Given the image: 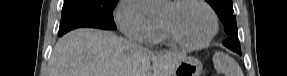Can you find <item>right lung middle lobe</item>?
I'll list each match as a JSON object with an SVG mask.
<instances>
[{"label": "right lung middle lobe", "mask_w": 287, "mask_h": 76, "mask_svg": "<svg viewBox=\"0 0 287 76\" xmlns=\"http://www.w3.org/2000/svg\"><path fill=\"white\" fill-rule=\"evenodd\" d=\"M118 0H65L59 36L80 27L116 29L112 10Z\"/></svg>", "instance_id": "1"}]
</instances>
